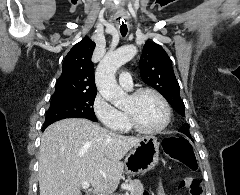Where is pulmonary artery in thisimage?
I'll return each mask as SVG.
<instances>
[{
  "mask_svg": "<svg viewBox=\"0 0 240 195\" xmlns=\"http://www.w3.org/2000/svg\"><path fill=\"white\" fill-rule=\"evenodd\" d=\"M119 83L124 89L127 90H131L133 87V80L127 71H124L123 76L119 77Z\"/></svg>",
  "mask_w": 240,
  "mask_h": 195,
  "instance_id": "obj_1",
  "label": "pulmonary artery"
}]
</instances>
